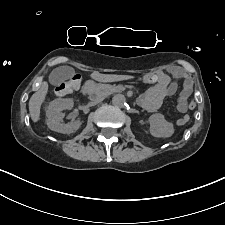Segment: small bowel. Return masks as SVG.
Returning a JSON list of instances; mask_svg holds the SVG:
<instances>
[{
  "label": "small bowel",
  "mask_w": 225,
  "mask_h": 225,
  "mask_svg": "<svg viewBox=\"0 0 225 225\" xmlns=\"http://www.w3.org/2000/svg\"><path fill=\"white\" fill-rule=\"evenodd\" d=\"M171 74L173 80L166 72L159 73V83L149 88L140 98V105L148 112H155L162 104L164 98L175 94L177 90V81L182 83V91L177 99V110L185 113L187 110V99L193 90L192 79L179 67H172L167 70ZM189 119L187 115H183L177 120V124L181 125V119Z\"/></svg>",
  "instance_id": "c3829d8e"
}]
</instances>
